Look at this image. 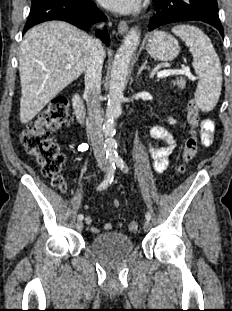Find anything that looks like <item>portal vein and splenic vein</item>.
<instances>
[{"label": "portal vein and splenic vein", "instance_id": "portal-vein-and-splenic-vein-1", "mask_svg": "<svg viewBox=\"0 0 232 311\" xmlns=\"http://www.w3.org/2000/svg\"><path fill=\"white\" fill-rule=\"evenodd\" d=\"M71 65H66V69H71ZM170 75H187L191 80H195V78L190 74L189 68L183 69H165L157 73L158 78H165Z\"/></svg>", "mask_w": 232, "mask_h": 311}]
</instances>
